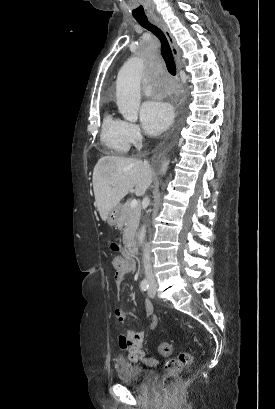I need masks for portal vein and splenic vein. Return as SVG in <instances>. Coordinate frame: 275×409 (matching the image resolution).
I'll use <instances>...</instances> for the list:
<instances>
[{"label":"portal vein and splenic vein","mask_w":275,"mask_h":409,"mask_svg":"<svg viewBox=\"0 0 275 409\" xmlns=\"http://www.w3.org/2000/svg\"><path fill=\"white\" fill-rule=\"evenodd\" d=\"M138 205V200H136V198H133V200H131V209H134V207H137Z\"/></svg>","instance_id":"obj_1"}]
</instances>
